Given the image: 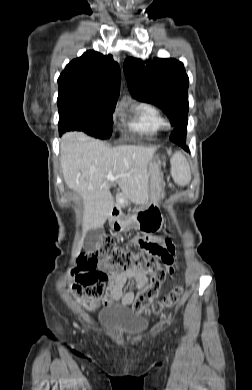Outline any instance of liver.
<instances>
[{
    "label": "liver",
    "instance_id": "obj_1",
    "mask_svg": "<svg viewBox=\"0 0 252 390\" xmlns=\"http://www.w3.org/2000/svg\"><path fill=\"white\" fill-rule=\"evenodd\" d=\"M154 149L118 146L81 132H68L61 139V166L65 184L83 199V229L102 227L111 216L114 200L110 187L115 183L123 195L136 202L148 197V163ZM79 242L74 256L81 250Z\"/></svg>",
    "mask_w": 252,
    "mask_h": 390
}]
</instances>
